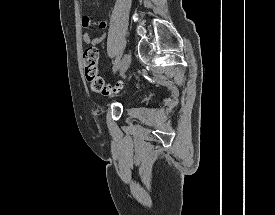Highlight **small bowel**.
Segmentation results:
<instances>
[{
    "label": "small bowel",
    "mask_w": 275,
    "mask_h": 215,
    "mask_svg": "<svg viewBox=\"0 0 275 215\" xmlns=\"http://www.w3.org/2000/svg\"><path fill=\"white\" fill-rule=\"evenodd\" d=\"M82 25L83 27L85 28H89L93 25H96L98 26L99 28L101 29H105L107 28L108 26V21L107 20H95L91 17H84L83 18V21H82ZM106 37V34L103 33L100 37L98 38H94L92 35H90L89 33H85L82 37L83 39V42L86 44V45H89V46H96L100 43H102L104 41Z\"/></svg>",
    "instance_id": "small-bowel-1"
}]
</instances>
